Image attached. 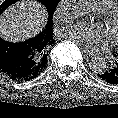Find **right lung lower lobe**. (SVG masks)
Returning <instances> with one entry per match:
<instances>
[{"label": "right lung lower lobe", "instance_id": "obj_1", "mask_svg": "<svg viewBox=\"0 0 118 118\" xmlns=\"http://www.w3.org/2000/svg\"><path fill=\"white\" fill-rule=\"evenodd\" d=\"M32 39L12 43L0 37V72L9 79L28 81L41 73L36 70V52Z\"/></svg>", "mask_w": 118, "mask_h": 118}]
</instances>
